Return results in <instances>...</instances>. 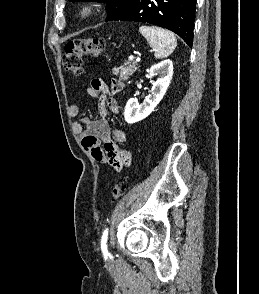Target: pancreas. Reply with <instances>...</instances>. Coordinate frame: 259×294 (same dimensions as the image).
<instances>
[{
	"label": "pancreas",
	"mask_w": 259,
	"mask_h": 294,
	"mask_svg": "<svg viewBox=\"0 0 259 294\" xmlns=\"http://www.w3.org/2000/svg\"><path fill=\"white\" fill-rule=\"evenodd\" d=\"M137 70V63L136 62H126L121 67H114L113 74L118 76L119 79L126 81L129 77Z\"/></svg>",
	"instance_id": "pancreas-1"
}]
</instances>
